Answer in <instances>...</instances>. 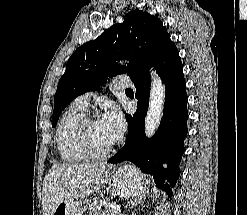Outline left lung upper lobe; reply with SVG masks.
<instances>
[{
    "label": "left lung upper lobe",
    "instance_id": "obj_1",
    "mask_svg": "<svg viewBox=\"0 0 247 215\" xmlns=\"http://www.w3.org/2000/svg\"><path fill=\"white\" fill-rule=\"evenodd\" d=\"M170 39L159 18L133 10L122 24H115L95 40L79 47L69 58L54 96L52 127L59 115L77 96L99 90L108 77L127 73L132 79L145 70ZM130 57L126 65L117 59Z\"/></svg>",
    "mask_w": 247,
    "mask_h": 215
}]
</instances>
